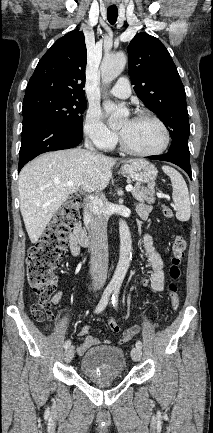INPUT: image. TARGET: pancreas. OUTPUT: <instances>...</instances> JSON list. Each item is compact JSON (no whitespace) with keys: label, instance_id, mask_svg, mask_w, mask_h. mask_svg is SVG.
<instances>
[{"label":"pancreas","instance_id":"obj_1","mask_svg":"<svg viewBox=\"0 0 213 433\" xmlns=\"http://www.w3.org/2000/svg\"><path fill=\"white\" fill-rule=\"evenodd\" d=\"M155 184L150 183L147 187L135 184L132 192L133 197L140 202H147L149 204L155 202Z\"/></svg>","mask_w":213,"mask_h":433}]
</instances>
